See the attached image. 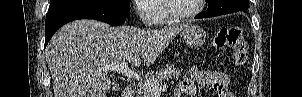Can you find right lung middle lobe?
I'll return each mask as SVG.
<instances>
[{
	"label": "right lung middle lobe",
	"instance_id": "dd1d6c3e",
	"mask_svg": "<svg viewBox=\"0 0 302 97\" xmlns=\"http://www.w3.org/2000/svg\"><path fill=\"white\" fill-rule=\"evenodd\" d=\"M76 4H100L109 6L126 17L130 15V0H51L49 10Z\"/></svg>",
	"mask_w": 302,
	"mask_h": 97
}]
</instances>
